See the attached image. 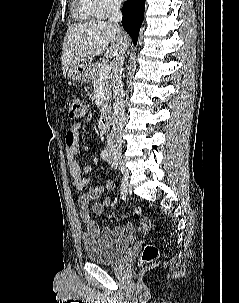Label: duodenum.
Wrapping results in <instances>:
<instances>
[{
	"mask_svg": "<svg viewBox=\"0 0 239 303\" xmlns=\"http://www.w3.org/2000/svg\"><path fill=\"white\" fill-rule=\"evenodd\" d=\"M99 129L102 132H108L110 129V114L109 111H105L98 120Z\"/></svg>",
	"mask_w": 239,
	"mask_h": 303,
	"instance_id": "duodenum-1",
	"label": "duodenum"
}]
</instances>
